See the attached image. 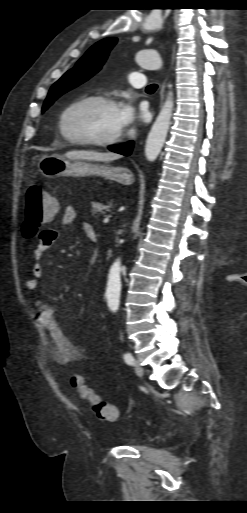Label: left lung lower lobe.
I'll use <instances>...</instances> for the list:
<instances>
[{
	"instance_id": "0a47b994",
	"label": "left lung lower lobe",
	"mask_w": 247,
	"mask_h": 513,
	"mask_svg": "<svg viewBox=\"0 0 247 513\" xmlns=\"http://www.w3.org/2000/svg\"><path fill=\"white\" fill-rule=\"evenodd\" d=\"M133 147H134V142L130 141L125 144L109 147V150L119 153V154H122V155H125V156H129L133 150Z\"/></svg>"
}]
</instances>
